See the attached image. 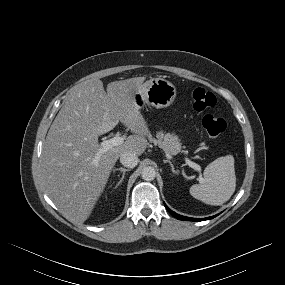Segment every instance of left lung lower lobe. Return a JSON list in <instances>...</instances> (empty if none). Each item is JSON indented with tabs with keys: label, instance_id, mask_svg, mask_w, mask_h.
<instances>
[{
	"label": "left lung lower lobe",
	"instance_id": "obj_1",
	"mask_svg": "<svg viewBox=\"0 0 285 285\" xmlns=\"http://www.w3.org/2000/svg\"><path fill=\"white\" fill-rule=\"evenodd\" d=\"M165 207L167 208V210L169 211V213H171V215H173L174 217H176V218L179 219V220H185V221H203V220L212 219V218H214V217L217 216V215H215V216H212V217H207V218H202V219L190 218V217H185V216H182V215H179V214L173 212V211L170 210L166 205H165Z\"/></svg>",
	"mask_w": 285,
	"mask_h": 285
}]
</instances>
